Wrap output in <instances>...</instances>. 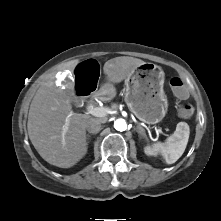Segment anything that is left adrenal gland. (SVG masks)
<instances>
[{"mask_svg":"<svg viewBox=\"0 0 221 221\" xmlns=\"http://www.w3.org/2000/svg\"><path fill=\"white\" fill-rule=\"evenodd\" d=\"M137 132H138V134H139L140 137H143V138H145L146 140L148 139L144 128L141 127L140 125H137Z\"/></svg>","mask_w":221,"mask_h":221,"instance_id":"obj_1","label":"left adrenal gland"}]
</instances>
